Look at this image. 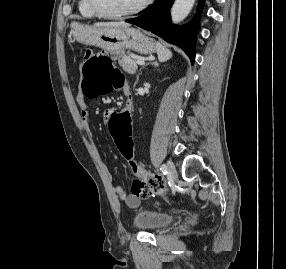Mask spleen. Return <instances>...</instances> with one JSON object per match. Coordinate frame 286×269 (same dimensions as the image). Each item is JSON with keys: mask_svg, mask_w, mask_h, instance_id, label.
Wrapping results in <instances>:
<instances>
[{"mask_svg": "<svg viewBox=\"0 0 286 269\" xmlns=\"http://www.w3.org/2000/svg\"><path fill=\"white\" fill-rule=\"evenodd\" d=\"M157 54L160 62H165L172 57V52L166 49L161 43L157 42Z\"/></svg>", "mask_w": 286, "mask_h": 269, "instance_id": "1", "label": "spleen"}]
</instances>
